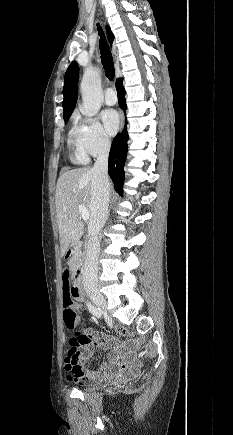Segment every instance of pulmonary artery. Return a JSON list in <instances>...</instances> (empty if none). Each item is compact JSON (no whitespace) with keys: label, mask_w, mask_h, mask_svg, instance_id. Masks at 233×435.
<instances>
[{"label":"pulmonary artery","mask_w":233,"mask_h":435,"mask_svg":"<svg viewBox=\"0 0 233 435\" xmlns=\"http://www.w3.org/2000/svg\"><path fill=\"white\" fill-rule=\"evenodd\" d=\"M117 97L115 92L111 88H107L104 91V102L107 105H114L116 103Z\"/></svg>","instance_id":"e3ab8cb5"}]
</instances>
